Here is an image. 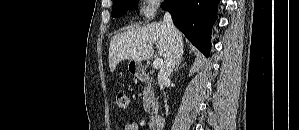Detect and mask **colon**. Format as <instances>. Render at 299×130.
<instances>
[{
  "label": "colon",
  "instance_id": "obj_1",
  "mask_svg": "<svg viewBox=\"0 0 299 130\" xmlns=\"http://www.w3.org/2000/svg\"><path fill=\"white\" fill-rule=\"evenodd\" d=\"M116 104L120 108H126L128 105V97L126 96V94L122 92L118 93L116 96Z\"/></svg>",
  "mask_w": 299,
  "mask_h": 130
}]
</instances>
